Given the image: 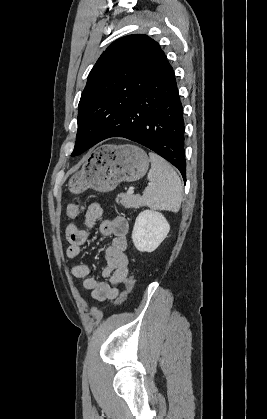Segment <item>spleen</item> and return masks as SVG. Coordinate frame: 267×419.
I'll return each instance as SVG.
<instances>
[{
    "instance_id": "1",
    "label": "spleen",
    "mask_w": 267,
    "mask_h": 419,
    "mask_svg": "<svg viewBox=\"0 0 267 419\" xmlns=\"http://www.w3.org/2000/svg\"><path fill=\"white\" fill-rule=\"evenodd\" d=\"M151 169L150 185L143 192V202L152 209L178 212L183 197L181 180L172 166L154 152L149 153Z\"/></svg>"
}]
</instances>
